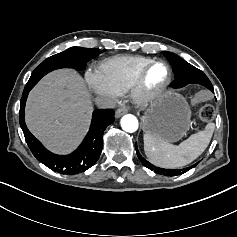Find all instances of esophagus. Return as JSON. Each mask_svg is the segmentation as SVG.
Segmentation results:
<instances>
[{
    "instance_id": "1",
    "label": "esophagus",
    "mask_w": 237,
    "mask_h": 237,
    "mask_svg": "<svg viewBox=\"0 0 237 237\" xmlns=\"http://www.w3.org/2000/svg\"><path fill=\"white\" fill-rule=\"evenodd\" d=\"M127 111H128V107L127 106H122V107H120L116 110L115 117L120 118L122 115L126 114Z\"/></svg>"
}]
</instances>
